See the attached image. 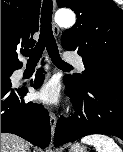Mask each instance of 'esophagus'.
Returning <instances> with one entry per match:
<instances>
[{
	"instance_id": "obj_1",
	"label": "esophagus",
	"mask_w": 123,
	"mask_h": 152,
	"mask_svg": "<svg viewBox=\"0 0 123 152\" xmlns=\"http://www.w3.org/2000/svg\"><path fill=\"white\" fill-rule=\"evenodd\" d=\"M52 1H53V4L55 5V0H52ZM53 31L55 35H58L60 32L59 27L55 23L53 24ZM49 116H50L51 135L54 136L56 124H57V118H56L55 113H53L52 111L50 112Z\"/></svg>"
}]
</instances>
